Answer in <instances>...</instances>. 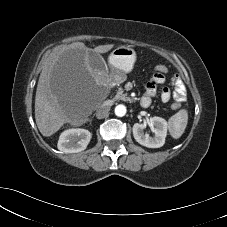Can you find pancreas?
Returning a JSON list of instances; mask_svg holds the SVG:
<instances>
[{
	"label": "pancreas",
	"instance_id": "1",
	"mask_svg": "<svg viewBox=\"0 0 227 227\" xmlns=\"http://www.w3.org/2000/svg\"><path fill=\"white\" fill-rule=\"evenodd\" d=\"M113 100H123V101H128L129 97L127 96L126 93H124L122 88H119L115 97L113 98Z\"/></svg>",
	"mask_w": 227,
	"mask_h": 227
}]
</instances>
